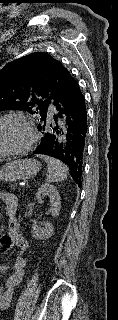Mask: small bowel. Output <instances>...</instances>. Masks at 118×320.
I'll return each instance as SVG.
<instances>
[{
    "instance_id": "1",
    "label": "small bowel",
    "mask_w": 118,
    "mask_h": 320,
    "mask_svg": "<svg viewBox=\"0 0 118 320\" xmlns=\"http://www.w3.org/2000/svg\"><path fill=\"white\" fill-rule=\"evenodd\" d=\"M1 199L6 203L7 206L11 205V198L12 196L9 194H2ZM17 226L18 224L15 220L10 221L9 228L12 226ZM19 247V246H17ZM11 248V247H10ZM24 267H25V260L23 258H18L12 265L11 267V273L5 280L3 287H1L0 291V309L1 310H6L10 306L12 296H13V291L15 287L20 283L23 273H24ZM7 270L6 266L0 267V271H5Z\"/></svg>"
}]
</instances>
